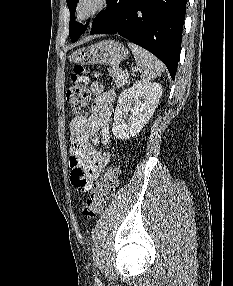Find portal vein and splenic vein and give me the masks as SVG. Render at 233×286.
Instances as JSON below:
<instances>
[{"instance_id": "18ae733b", "label": "portal vein and splenic vein", "mask_w": 233, "mask_h": 286, "mask_svg": "<svg viewBox=\"0 0 233 286\" xmlns=\"http://www.w3.org/2000/svg\"><path fill=\"white\" fill-rule=\"evenodd\" d=\"M124 76H125V77H129V72H128V71H125Z\"/></svg>"}]
</instances>
